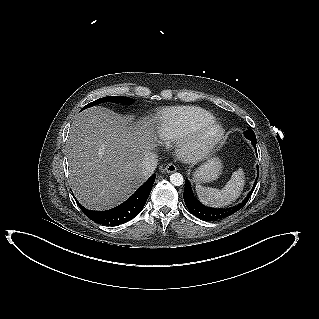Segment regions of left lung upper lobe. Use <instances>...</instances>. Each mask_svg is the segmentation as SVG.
Segmentation results:
<instances>
[{
  "mask_svg": "<svg viewBox=\"0 0 319 319\" xmlns=\"http://www.w3.org/2000/svg\"><path fill=\"white\" fill-rule=\"evenodd\" d=\"M244 135L251 141V143H256V136L253 130L249 129L248 131L244 132Z\"/></svg>",
  "mask_w": 319,
  "mask_h": 319,
  "instance_id": "5c2ea615",
  "label": "left lung upper lobe"
}]
</instances>
